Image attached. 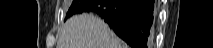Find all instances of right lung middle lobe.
<instances>
[{"instance_id": "right-lung-middle-lobe-1", "label": "right lung middle lobe", "mask_w": 213, "mask_h": 48, "mask_svg": "<svg viewBox=\"0 0 213 48\" xmlns=\"http://www.w3.org/2000/svg\"><path fill=\"white\" fill-rule=\"evenodd\" d=\"M87 1L88 0H73V3L66 14L65 20L74 14L80 13L82 7Z\"/></svg>"}]
</instances>
